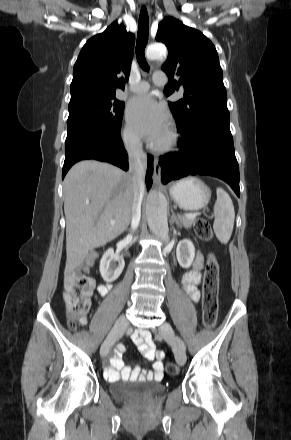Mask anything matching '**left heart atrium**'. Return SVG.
<instances>
[{
  "label": "left heart atrium",
  "mask_w": 291,
  "mask_h": 440,
  "mask_svg": "<svg viewBox=\"0 0 291 440\" xmlns=\"http://www.w3.org/2000/svg\"><path fill=\"white\" fill-rule=\"evenodd\" d=\"M127 119L137 135L154 142H158L169 127V116L165 107L149 95H139L130 101Z\"/></svg>",
  "instance_id": "39dd6f15"
}]
</instances>
